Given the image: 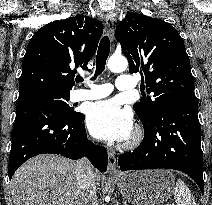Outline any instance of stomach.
Wrapping results in <instances>:
<instances>
[{
	"label": "stomach",
	"instance_id": "0dacf381",
	"mask_svg": "<svg viewBox=\"0 0 212 205\" xmlns=\"http://www.w3.org/2000/svg\"><path fill=\"white\" fill-rule=\"evenodd\" d=\"M122 196L133 205H164L174 191L175 178L168 170H140L116 176Z\"/></svg>",
	"mask_w": 212,
	"mask_h": 205
}]
</instances>
